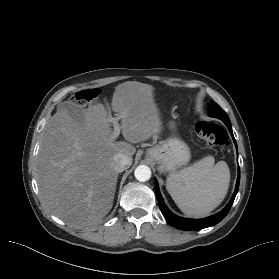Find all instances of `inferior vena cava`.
<instances>
[{"mask_svg": "<svg viewBox=\"0 0 279 279\" xmlns=\"http://www.w3.org/2000/svg\"><path fill=\"white\" fill-rule=\"evenodd\" d=\"M131 164L132 159L123 153H118L113 157L112 165L116 172L124 171L129 168Z\"/></svg>", "mask_w": 279, "mask_h": 279, "instance_id": "obj_1", "label": "inferior vena cava"}]
</instances>
